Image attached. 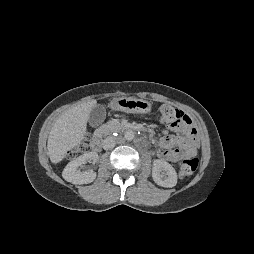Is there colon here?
<instances>
[{
    "label": "colon",
    "mask_w": 254,
    "mask_h": 254,
    "mask_svg": "<svg viewBox=\"0 0 254 254\" xmlns=\"http://www.w3.org/2000/svg\"><path fill=\"white\" fill-rule=\"evenodd\" d=\"M156 111L159 114L160 120L171 127L191 125L190 117L182 110L170 104L158 105ZM194 131L195 129L192 127V132ZM85 148L86 146L82 145V149L85 150ZM197 167L198 160L196 158L184 159L178 164V174L181 178H189L196 171Z\"/></svg>",
    "instance_id": "colon-1"
}]
</instances>
